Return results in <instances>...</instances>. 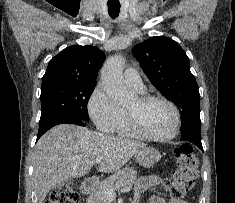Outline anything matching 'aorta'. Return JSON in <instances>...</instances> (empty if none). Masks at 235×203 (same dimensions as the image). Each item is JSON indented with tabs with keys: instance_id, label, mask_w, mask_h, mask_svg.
I'll list each match as a JSON object with an SVG mask.
<instances>
[{
	"instance_id": "1",
	"label": "aorta",
	"mask_w": 235,
	"mask_h": 203,
	"mask_svg": "<svg viewBox=\"0 0 235 203\" xmlns=\"http://www.w3.org/2000/svg\"><path fill=\"white\" fill-rule=\"evenodd\" d=\"M124 60L120 56L109 57L101 70V82L107 95L116 104H125L130 94L124 86L123 78Z\"/></svg>"
}]
</instances>
